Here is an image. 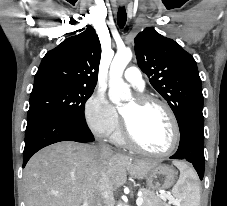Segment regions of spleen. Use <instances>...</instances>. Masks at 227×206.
I'll return each instance as SVG.
<instances>
[{"mask_svg":"<svg viewBox=\"0 0 227 206\" xmlns=\"http://www.w3.org/2000/svg\"><path fill=\"white\" fill-rule=\"evenodd\" d=\"M174 164L180 170V177L172 189L173 196L179 200L181 206H199L200 187L190 182V180H196V174L183 163L174 162Z\"/></svg>","mask_w":227,"mask_h":206,"instance_id":"1","label":"spleen"}]
</instances>
